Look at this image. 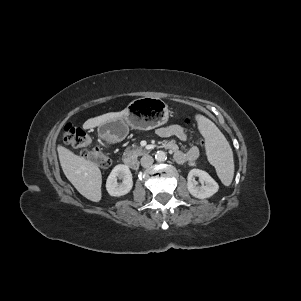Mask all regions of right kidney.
<instances>
[{"label":"right kidney","instance_id":"ca27d5eb","mask_svg":"<svg viewBox=\"0 0 301 301\" xmlns=\"http://www.w3.org/2000/svg\"><path fill=\"white\" fill-rule=\"evenodd\" d=\"M123 178L122 183L117 178ZM133 187L132 173L127 165H116L106 181V189L111 196L120 197L126 195Z\"/></svg>","mask_w":301,"mask_h":301}]
</instances>
